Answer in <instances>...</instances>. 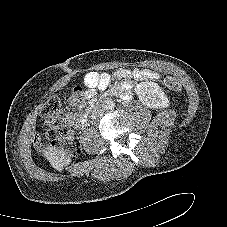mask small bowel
Here are the masks:
<instances>
[{
	"instance_id": "c3829d8e",
	"label": "small bowel",
	"mask_w": 227,
	"mask_h": 227,
	"mask_svg": "<svg viewBox=\"0 0 227 227\" xmlns=\"http://www.w3.org/2000/svg\"><path fill=\"white\" fill-rule=\"evenodd\" d=\"M127 78H133L135 80H156L159 78L158 73L149 69H118L116 72L109 73H99L96 71H89L84 75V83L87 87L85 92V97L87 99H92L97 89L106 88L111 82L115 80H123L113 93L120 91L127 95L133 88V83L126 80ZM83 104L81 105V107ZM70 119L74 122L76 120L75 116H71Z\"/></svg>"
}]
</instances>
